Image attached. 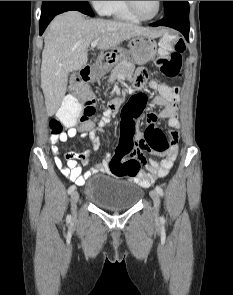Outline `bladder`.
<instances>
[{"mask_svg":"<svg viewBox=\"0 0 233 295\" xmlns=\"http://www.w3.org/2000/svg\"><path fill=\"white\" fill-rule=\"evenodd\" d=\"M84 196L103 209L123 211L137 205L143 196V190L128 180L94 176L86 181Z\"/></svg>","mask_w":233,"mask_h":295,"instance_id":"1","label":"bladder"}]
</instances>
